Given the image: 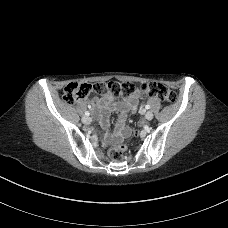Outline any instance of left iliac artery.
<instances>
[{
  "instance_id": "obj_1",
  "label": "left iliac artery",
  "mask_w": 228,
  "mask_h": 228,
  "mask_svg": "<svg viewBox=\"0 0 228 228\" xmlns=\"http://www.w3.org/2000/svg\"><path fill=\"white\" fill-rule=\"evenodd\" d=\"M145 108H146L147 110L150 109V105L147 104V105L145 106Z\"/></svg>"
}]
</instances>
